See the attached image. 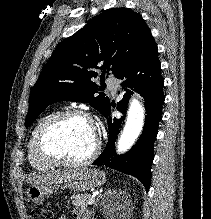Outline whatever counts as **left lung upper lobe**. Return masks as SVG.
<instances>
[{
    "mask_svg": "<svg viewBox=\"0 0 211 219\" xmlns=\"http://www.w3.org/2000/svg\"><path fill=\"white\" fill-rule=\"evenodd\" d=\"M150 35L142 17L128 8L108 9L92 18L54 50L31 90L25 126L48 105L63 100L89 103L104 115L110 106V99L99 93L105 73L116 77ZM95 68L102 70L101 86L92 81L98 75Z\"/></svg>",
    "mask_w": 211,
    "mask_h": 219,
    "instance_id": "left-lung-upper-lobe-1",
    "label": "left lung upper lobe"
}]
</instances>
